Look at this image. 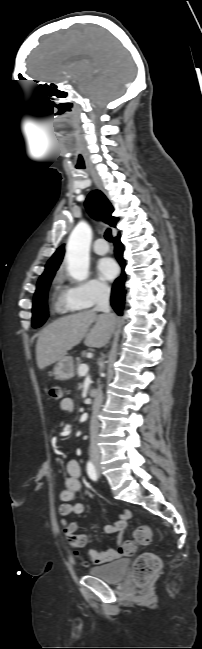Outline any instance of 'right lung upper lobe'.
Masks as SVG:
<instances>
[{
	"instance_id": "obj_1",
	"label": "right lung upper lobe",
	"mask_w": 202,
	"mask_h": 649,
	"mask_svg": "<svg viewBox=\"0 0 202 649\" xmlns=\"http://www.w3.org/2000/svg\"><path fill=\"white\" fill-rule=\"evenodd\" d=\"M85 207L88 213L95 219L102 218L110 226H116L118 218L112 216L114 208L101 191H92L85 201ZM64 252V245L56 250L51 259H49V261L47 262L45 271L41 276H45L53 272L55 273L62 262Z\"/></svg>"
}]
</instances>
